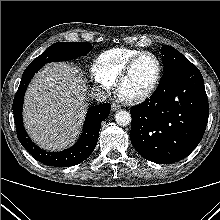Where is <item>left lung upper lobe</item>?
<instances>
[{"mask_svg":"<svg viewBox=\"0 0 220 220\" xmlns=\"http://www.w3.org/2000/svg\"><path fill=\"white\" fill-rule=\"evenodd\" d=\"M161 54L163 56L164 72L170 68L191 63L183 54H181L172 46H162Z\"/></svg>","mask_w":220,"mask_h":220,"instance_id":"left-lung-upper-lobe-1","label":"left lung upper lobe"}]
</instances>
